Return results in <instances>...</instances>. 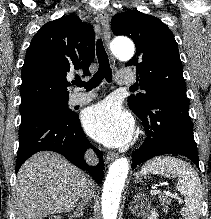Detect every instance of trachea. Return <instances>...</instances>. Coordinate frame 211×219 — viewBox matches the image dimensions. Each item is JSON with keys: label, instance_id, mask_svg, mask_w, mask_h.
I'll list each match as a JSON object with an SVG mask.
<instances>
[{"label": "trachea", "instance_id": "3493384b", "mask_svg": "<svg viewBox=\"0 0 211 219\" xmlns=\"http://www.w3.org/2000/svg\"><path fill=\"white\" fill-rule=\"evenodd\" d=\"M96 53L99 63L98 71L93 75V77L88 82H83L81 80H76L74 84L79 87H84L87 91L96 88L103 79L107 82L112 81V70L110 67L108 55L103 46L101 39L97 40ZM131 90H135V87H130Z\"/></svg>", "mask_w": 211, "mask_h": 219}]
</instances>
